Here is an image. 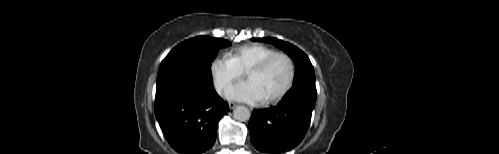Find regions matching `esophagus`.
Instances as JSON below:
<instances>
[{
	"label": "esophagus",
	"instance_id": "34e87169",
	"mask_svg": "<svg viewBox=\"0 0 499 154\" xmlns=\"http://www.w3.org/2000/svg\"><path fill=\"white\" fill-rule=\"evenodd\" d=\"M237 106L235 102H229V108L234 109Z\"/></svg>",
	"mask_w": 499,
	"mask_h": 154
}]
</instances>
